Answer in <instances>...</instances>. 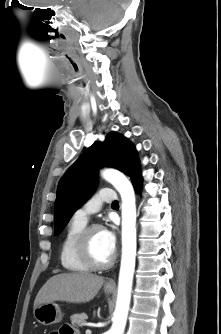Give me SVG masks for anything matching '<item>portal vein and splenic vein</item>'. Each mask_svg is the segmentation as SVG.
<instances>
[{"label": "portal vein and splenic vein", "instance_id": "obj_1", "mask_svg": "<svg viewBox=\"0 0 221 334\" xmlns=\"http://www.w3.org/2000/svg\"><path fill=\"white\" fill-rule=\"evenodd\" d=\"M85 333H86V334H91V330H90V329H87V330L85 331Z\"/></svg>", "mask_w": 221, "mask_h": 334}]
</instances>
